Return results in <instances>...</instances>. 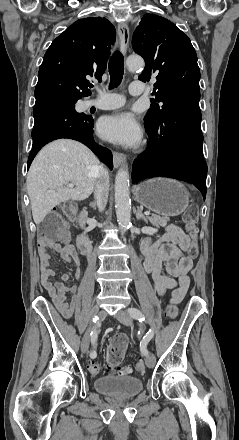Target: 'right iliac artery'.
I'll list each match as a JSON object with an SVG mask.
<instances>
[{
    "label": "right iliac artery",
    "mask_w": 239,
    "mask_h": 440,
    "mask_svg": "<svg viewBox=\"0 0 239 440\" xmlns=\"http://www.w3.org/2000/svg\"><path fill=\"white\" fill-rule=\"evenodd\" d=\"M93 322H94V324L99 323V317L95 316L93 318ZM90 336H91V342L94 344L96 342V340H97V330H96L95 326L93 327V330L91 331ZM96 356H97L96 351L95 350H91L90 357L91 358H96Z\"/></svg>",
    "instance_id": "right-iliac-artery-1"
}]
</instances>
